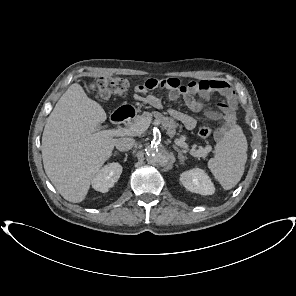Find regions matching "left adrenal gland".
Returning a JSON list of instances; mask_svg holds the SVG:
<instances>
[{
    "instance_id": "obj_1",
    "label": "left adrenal gland",
    "mask_w": 296,
    "mask_h": 296,
    "mask_svg": "<svg viewBox=\"0 0 296 296\" xmlns=\"http://www.w3.org/2000/svg\"><path fill=\"white\" fill-rule=\"evenodd\" d=\"M174 149L178 152L179 161L183 163L186 159V157L183 155V152L177 146H174Z\"/></svg>"
}]
</instances>
